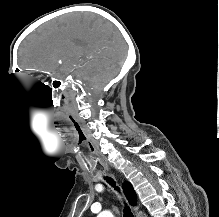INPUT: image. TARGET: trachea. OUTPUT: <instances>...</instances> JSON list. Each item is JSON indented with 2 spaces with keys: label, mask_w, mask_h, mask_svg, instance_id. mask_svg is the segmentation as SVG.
Segmentation results:
<instances>
[{
  "label": "trachea",
  "mask_w": 219,
  "mask_h": 217,
  "mask_svg": "<svg viewBox=\"0 0 219 217\" xmlns=\"http://www.w3.org/2000/svg\"><path fill=\"white\" fill-rule=\"evenodd\" d=\"M105 179L112 187H114L116 190L119 191V188L115 185V182L113 181V179H111L109 177H105ZM124 217H134L131 210L127 206H125V208H124Z\"/></svg>",
  "instance_id": "trachea-1"
}]
</instances>
